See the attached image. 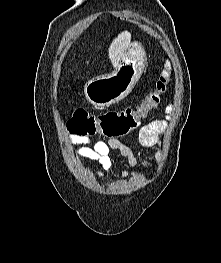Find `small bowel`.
Here are the masks:
<instances>
[{
	"instance_id": "obj_1",
	"label": "small bowel",
	"mask_w": 221,
	"mask_h": 263,
	"mask_svg": "<svg viewBox=\"0 0 221 263\" xmlns=\"http://www.w3.org/2000/svg\"><path fill=\"white\" fill-rule=\"evenodd\" d=\"M171 111L172 108L168 107L167 113L170 114ZM166 127V120H156L140 127L138 131V140L142 146L159 147L155 155L158 164L161 163L163 158V153L160 149V134L165 130ZM66 143L70 146H77L75 155L89 160H95L100 163L101 169L92 170V174L99 178L103 177L104 172L109 170L112 166V160L110 157L112 150L119 151V153L127 159L130 167L135 166L137 163V159L133 154L132 149L129 146L123 144L118 139H108L106 141L91 142L87 137L71 134L67 137ZM119 178L122 180H128L130 176L127 171H124L119 176Z\"/></svg>"
}]
</instances>
